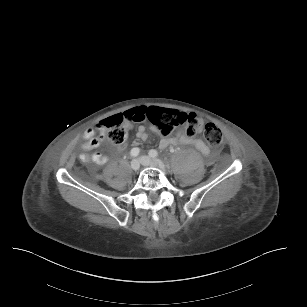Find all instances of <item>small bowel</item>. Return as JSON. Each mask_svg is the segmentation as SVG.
Segmentation results:
<instances>
[{"instance_id": "small-bowel-1", "label": "small bowel", "mask_w": 307, "mask_h": 307, "mask_svg": "<svg viewBox=\"0 0 307 307\" xmlns=\"http://www.w3.org/2000/svg\"><path fill=\"white\" fill-rule=\"evenodd\" d=\"M129 112L145 115L147 109L145 107H137ZM154 131H156L153 128ZM137 137L140 140H147L148 134L144 126H140L137 131ZM85 143L82 145L83 150L91 151L100 146L103 141V136H95L93 129H87L84 132ZM170 145H192L194 146L202 155L208 156L210 154L209 147L205 142L195 136H189L182 132H177L175 135L162 136L159 147L165 149ZM80 159L84 163H95V164H105L108 158L101 153L95 152L93 154L84 153L80 156Z\"/></svg>"}]
</instances>
